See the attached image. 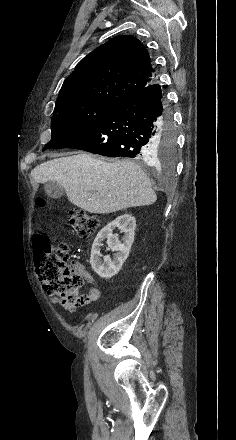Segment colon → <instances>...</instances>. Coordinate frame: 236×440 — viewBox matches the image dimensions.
<instances>
[{"label":"colon","instance_id":"1","mask_svg":"<svg viewBox=\"0 0 236 440\" xmlns=\"http://www.w3.org/2000/svg\"><path fill=\"white\" fill-rule=\"evenodd\" d=\"M42 206L43 201L38 200ZM68 222L71 233L85 237L99 226L96 215L81 209H71L68 212ZM33 244L36 249V267L44 290L67 310L73 311L84 304L85 297L79 293L84 284L83 274L74 264L69 263L70 247L66 242L50 246L42 234H35Z\"/></svg>","mask_w":236,"mask_h":440}]
</instances>
